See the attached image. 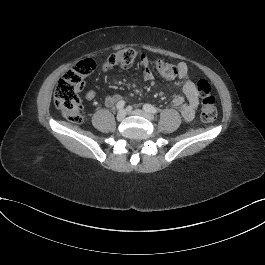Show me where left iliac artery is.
<instances>
[{
	"label": "left iliac artery",
	"mask_w": 265,
	"mask_h": 265,
	"mask_svg": "<svg viewBox=\"0 0 265 265\" xmlns=\"http://www.w3.org/2000/svg\"><path fill=\"white\" fill-rule=\"evenodd\" d=\"M143 109L146 111V112H149V113H153V114H157L158 113V109L153 107L152 105L150 104H145L143 106Z\"/></svg>",
	"instance_id": "left-iliac-artery-1"
}]
</instances>
